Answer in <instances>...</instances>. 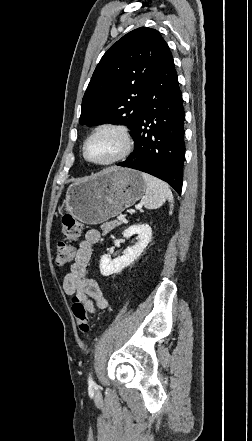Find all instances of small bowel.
<instances>
[{
    "mask_svg": "<svg viewBox=\"0 0 252 441\" xmlns=\"http://www.w3.org/2000/svg\"><path fill=\"white\" fill-rule=\"evenodd\" d=\"M99 239L100 233L95 229H90L85 233L84 239L79 242L73 263L63 280L65 293L78 296L91 313L107 306V300L97 281L87 277V267L93 246L98 243Z\"/></svg>",
    "mask_w": 252,
    "mask_h": 441,
    "instance_id": "c3829d8e",
    "label": "small bowel"
}]
</instances>
